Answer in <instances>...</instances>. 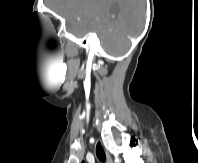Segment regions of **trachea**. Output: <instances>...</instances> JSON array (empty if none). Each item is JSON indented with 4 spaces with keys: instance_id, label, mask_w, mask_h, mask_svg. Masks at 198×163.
Wrapping results in <instances>:
<instances>
[{
    "instance_id": "3493384b",
    "label": "trachea",
    "mask_w": 198,
    "mask_h": 163,
    "mask_svg": "<svg viewBox=\"0 0 198 163\" xmlns=\"http://www.w3.org/2000/svg\"><path fill=\"white\" fill-rule=\"evenodd\" d=\"M96 155L98 157V159L102 162V163H105L106 161V154L100 144V142L97 144L96 146Z\"/></svg>"
}]
</instances>
